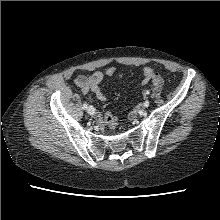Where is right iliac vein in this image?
Instances as JSON below:
<instances>
[{"label":"right iliac vein","instance_id":"obj_1","mask_svg":"<svg viewBox=\"0 0 220 220\" xmlns=\"http://www.w3.org/2000/svg\"><path fill=\"white\" fill-rule=\"evenodd\" d=\"M88 113L90 114V115H93L94 113H95V109H94V107L93 106H89V108H88Z\"/></svg>","mask_w":220,"mask_h":220}]
</instances>
